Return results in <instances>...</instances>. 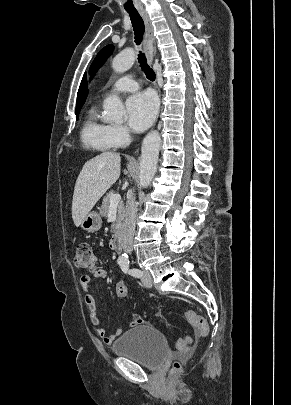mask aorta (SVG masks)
I'll return each mask as SVG.
<instances>
[{"label":"aorta","instance_id":"aorta-1","mask_svg":"<svg viewBox=\"0 0 291 405\" xmlns=\"http://www.w3.org/2000/svg\"><path fill=\"white\" fill-rule=\"evenodd\" d=\"M136 59V53L132 48H127L116 55L112 61V68L116 73L129 70ZM104 119L108 122L120 123L125 116L122 101L116 95L108 97L104 103ZM161 137L157 131H152L144 138L141 148L139 184L146 188L150 185L157 170ZM126 260L127 255H121Z\"/></svg>","mask_w":291,"mask_h":405}]
</instances>
